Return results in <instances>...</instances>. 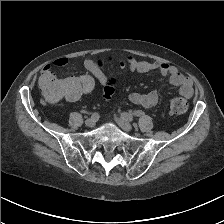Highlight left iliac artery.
Instances as JSON below:
<instances>
[{
  "label": "left iliac artery",
  "instance_id": "44dca946",
  "mask_svg": "<svg viewBox=\"0 0 224 224\" xmlns=\"http://www.w3.org/2000/svg\"><path fill=\"white\" fill-rule=\"evenodd\" d=\"M121 117L126 119V120H128V121H132L133 120V116L131 114H129V113H126V112L122 113Z\"/></svg>",
  "mask_w": 224,
  "mask_h": 224
}]
</instances>
